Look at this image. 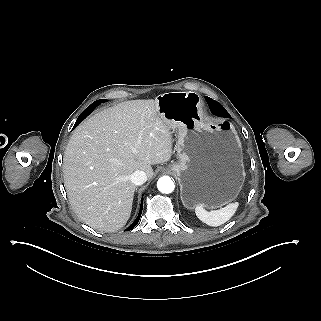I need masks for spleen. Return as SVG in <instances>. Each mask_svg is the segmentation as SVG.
<instances>
[{
  "label": "spleen",
  "mask_w": 321,
  "mask_h": 321,
  "mask_svg": "<svg viewBox=\"0 0 321 321\" xmlns=\"http://www.w3.org/2000/svg\"><path fill=\"white\" fill-rule=\"evenodd\" d=\"M238 206L239 203L234 202L218 210L207 211L201 205H197L195 207V214L203 223L212 227H218L230 220Z\"/></svg>",
  "instance_id": "1"
}]
</instances>
